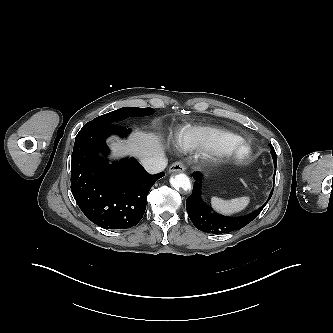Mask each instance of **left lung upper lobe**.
Masks as SVG:
<instances>
[{
    "mask_svg": "<svg viewBox=\"0 0 333 333\" xmlns=\"http://www.w3.org/2000/svg\"><path fill=\"white\" fill-rule=\"evenodd\" d=\"M269 146L271 148V154H272V157H273V162H274V165L276 167V164H277L276 153H275V150H274L272 144H269Z\"/></svg>",
    "mask_w": 333,
    "mask_h": 333,
    "instance_id": "1",
    "label": "left lung upper lobe"
}]
</instances>
